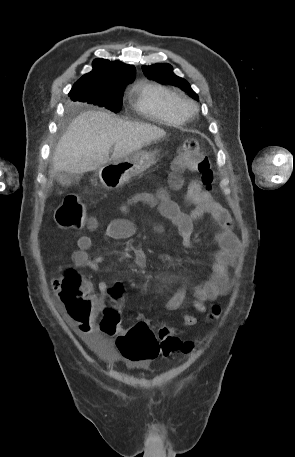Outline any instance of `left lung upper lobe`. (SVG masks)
I'll return each instance as SVG.
<instances>
[{"label":"left lung upper lobe","mask_w":295,"mask_h":457,"mask_svg":"<svg viewBox=\"0 0 295 457\" xmlns=\"http://www.w3.org/2000/svg\"><path fill=\"white\" fill-rule=\"evenodd\" d=\"M142 70L147 78L179 87L194 98H198V95L191 89L189 83L173 73L171 65L157 63L151 66H143Z\"/></svg>","instance_id":"1"}]
</instances>
